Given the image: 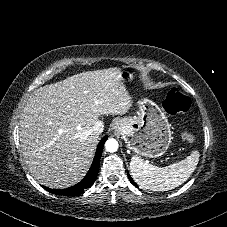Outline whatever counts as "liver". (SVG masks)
Listing matches in <instances>:
<instances>
[{
    "label": "liver",
    "mask_w": 227,
    "mask_h": 227,
    "mask_svg": "<svg viewBox=\"0 0 227 227\" xmlns=\"http://www.w3.org/2000/svg\"><path fill=\"white\" fill-rule=\"evenodd\" d=\"M121 69L86 71L36 89L20 120L26 165L42 185L63 189L85 175L99 134L93 125L102 115H122L132 97Z\"/></svg>",
    "instance_id": "obj_1"
}]
</instances>
